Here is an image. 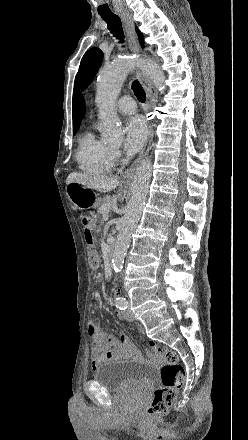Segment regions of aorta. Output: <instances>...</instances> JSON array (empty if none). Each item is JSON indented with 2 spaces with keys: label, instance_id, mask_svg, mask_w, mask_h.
Instances as JSON below:
<instances>
[{
  "label": "aorta",
  "instance_id": "762f6f07",
  "mask_svg": "<svg viewBox=\"0 0 248 440\" xmlns=\"http://www.w3.org/2000/svg\"><path fill=\"white\" fill-rule=\"evenodd\" d=\"M135 67H139L152 80L157 90L165 89V75L150 59L120 58L104 68L97 80L96 102L102 123V137L108 143L119 145L123 141V131L116 114L115 103L125 78ZM151 175L152 162L150 159H145L136 169L131 198L126 206L117 236L112 259L115 272H120L123 268L132 232L139 222L147 198Z\"/></svg>",
  "mask_w": 248,
  "mask_h": 440
}]
</instances>
